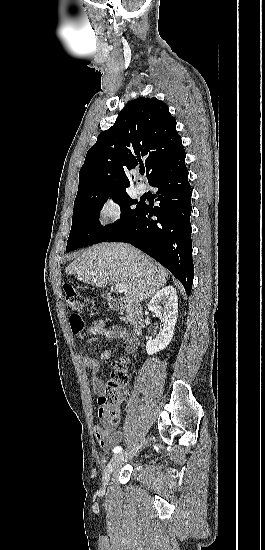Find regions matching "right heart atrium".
<instances>
[{"label":"right heart atrium","mask_w":265,"mask_h":550,"mask_svg":"<svg viewBox=\"0 0 265 550\" xmlns=\"http://www.w3.org/2000/svg\"><path fill=\"white\" fill-rule=\"evenodd\" d=\"M122 215V204L115 197L107 198L99 210L100 222L104 227H110L117 224L121 220Z\"/></svg>","instance_id":"obj_1"}]
</instances>
